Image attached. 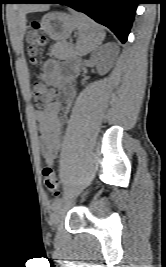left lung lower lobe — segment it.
<instances>
[{
  "instance_id": "left-lung-lower-lobe-1",
  "label": "left lung lower lobe",
  "mask_w": 166,
  "mask_h": 267,
  "mask_svg": "<svg viewBox=\"0 0 166 267\" xmlns=\"http://www.w3.org/2000/svg\"><path fill=\"white\" fill-rule=\"evenodd\" d=\"M25 3L65 4L108 27L122 43H125L134 20L138 0H30Z\"/></svg>"
}]
</instances>
